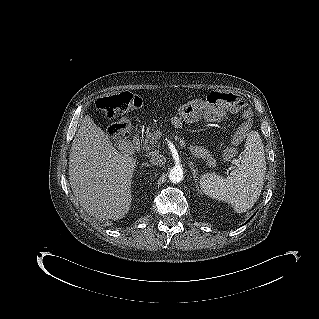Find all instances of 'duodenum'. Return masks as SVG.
Wrapping results in <instances>:
<instances>
[{"instance_id":"1","label":"duodenum","mask_w":319,"mask_h":319,"mask_svg":"<svg viewBox=\"0 0 319 319\" xmlns=\"http://www.w3.org/2000/svg\"><path fill=\"white\" fill-rule=\"evenodd\" d=\"M132 146L134 149H138L140 147V133H135L132 139Z\"/></svg>"}]
</instances>
